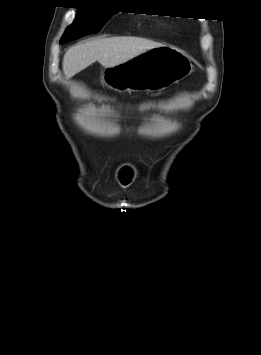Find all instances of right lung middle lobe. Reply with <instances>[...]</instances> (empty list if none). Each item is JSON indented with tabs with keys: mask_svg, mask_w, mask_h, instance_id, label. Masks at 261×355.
Here are the masks:
<instances>
[{
	"mask_svg": "<svg viewBox=\"0 0 261 355\" xmlns=\"http://www.w3.org/2000/svg\"><path fill=\"white\" fill-rule=\"evenodd\" d=\"M111 11H101L92 8H78L75 21L66 29L62 40H74L81 36L96 33L111 17Z\"/></svg>",
	"mask_w": 261,
	"mask_h": 355,
	"instance_id": "right-lung-middle-lobe-1",
	"label": "right lung middle lobe"
}]
</instances>
